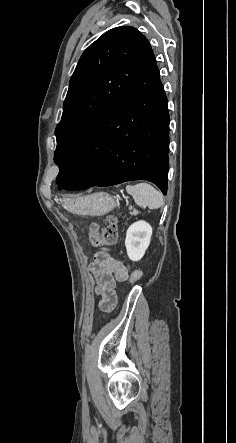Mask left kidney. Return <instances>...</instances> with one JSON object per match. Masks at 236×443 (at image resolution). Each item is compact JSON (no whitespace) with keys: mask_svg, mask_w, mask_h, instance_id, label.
Here are the masks:
<instances>
[{"mask_svg":"<svg viewBox=\"0 0 236 443\" xmlns=\"http://www.w3.org/2000/svg\"><path fill=\"white\" fill-rule=\"evenodd\" d=\"M152 236V227L140 220L133 223L126 232L125 246L127 255L132 261H139L149 247Z\"/></svg>","mask_w":236,"mask_h":443,"instance_id":"left-kidney-1","label":"left kidney"}]
</instances>
